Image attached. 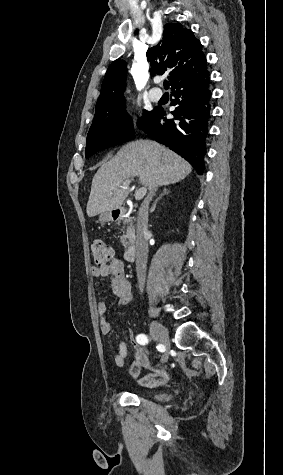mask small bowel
<instances>
[{
	"label": "small bowel",
	"mask_w": 283,
	"mask_h": 475,
	"mask_svg": "<svg viewBox=\"0 0 283 475\" xmlns=\"http://www.w3.org/2000/svg\"><path fill=\"white\" fill-rule=\"evenodd\" d=\"M90 275L94 278H109L111 280L113 295L117 298L119 305H126L132 298L131 282L125 275L124 264L120 259H113L104 265H92ZM108 306L106 302L100 301L97 304V313L99 316L100 330L102 334L107 335L111 332V325L106 319ZM131 344L133 346L132 364L129 369V376L137 379L142 369L150 370V373L143 376L139 383L146 387H158L166 384L170 380V374L156 366L145 353L143 347L138 345L129 332ZM128 357V346L125 341H121L118 346V352L114 356V363L118 368H122Z\"/></svg>",
	"instance_id": "obj_1"
}]
</instances>
